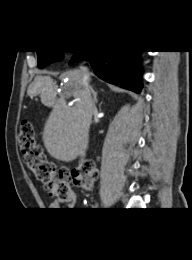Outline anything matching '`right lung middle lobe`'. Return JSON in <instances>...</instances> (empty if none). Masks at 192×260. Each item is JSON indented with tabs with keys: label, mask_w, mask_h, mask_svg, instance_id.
Segmentation results:
<instances>
[{
	"label": "right lung middle lobe",
	"mask_w": 192,
	"mask_h": 260,
	"mask_svg": "<svg viewBox=\"0 0 192 260\" xmlns=\"http://www.w3.org/2000/svg\"><path fill=\"white\" fill-rule=\"evenodd\" d=\"M38 66L44 68L48 64L63 58V51H37Z\"/></svg>",
	"instance_id": "1"
}]
</instances>
